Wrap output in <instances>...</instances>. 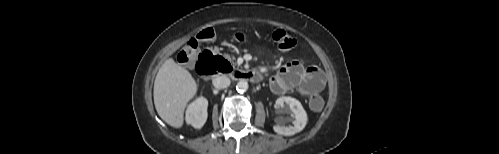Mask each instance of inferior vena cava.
Instances as JSON below:
<instances>
[{
  "instance_id": "obj_1",
  "label": "inferior vena cava",
  "mask_w": 499,
  "mask_h": 154,
  "mask_svg": "<svg viewBox=\"0 0 499 154\" xmlns=\"http://www.w3.org/2000/svg\"><path fill=\"white\" fill-rule=\"evenodd\" d=\"M212 82H213V85L219 89L227 88L231 83L230 79L226 76L217 77V78L213 79Z\"/></svg>"
}]
</instances>
